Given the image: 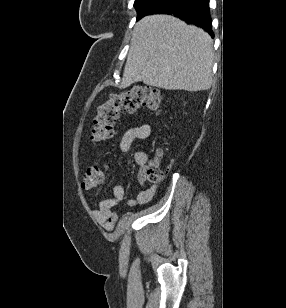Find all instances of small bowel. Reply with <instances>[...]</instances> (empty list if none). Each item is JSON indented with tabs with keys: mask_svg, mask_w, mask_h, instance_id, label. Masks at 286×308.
Returning <instances> with one entry per match:
<instances>
[{
	"mask_svg": "<svg viewBox=\"0 0 286 308\" xmlns=\"http://www.w3.org/2000/svg\"><path fill=\"white\" fill-rule=\"evenodd\" d=\"M151 136V126L147 123H142L129 127L123 132L118 142V149L120 152H127L132 144L138 139H147ZM134 159L136 164L140 167L137 174L138 181L142 187L141 191L134 199H129L128 204L130 206L145 205L152 201L154 198L158 185H147L148 178L145 174V167L147 162V155L143 151H136L134 153ZM126 190L123 185L115 186L113 190V196L105 199L101 202L99 207L93 210L94 218L99 221L104 228L112 229L117 221V214L113 211V207L119 201L125 199Z\"/></svg>",
	"mask_w": 286,
	"mask_h": 308,
	"instance_id": "obj_1",
	"label": "small bowel"
}]
</instances>
